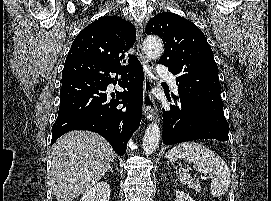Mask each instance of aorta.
<instances>
[{
  "label": "aorta",
  "mask_w": 271,
  "mask_h": 201,
  "mask_svg": "<svg viewBox=\"0 0 271 201\" xmlns=\"http://www.w3.org/2000/svg\"><path fill=\"white\" fill-rule=\"evenodd\" d=\"M143 51L149 59L159 58L163 51L162 40L157 36H148L143 42ZM160 140V128L153 121L148 125L143 137V150L145 154H152L158 147Z\"/></svg>",
  "instance_id": "1"
}]
</instances>
